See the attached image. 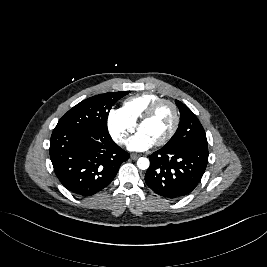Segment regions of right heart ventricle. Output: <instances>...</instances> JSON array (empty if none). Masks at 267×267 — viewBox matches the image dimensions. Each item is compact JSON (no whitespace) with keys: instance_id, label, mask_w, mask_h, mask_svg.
I'll return each mask as SVG.
<instances>
[{"instance_id":"right-heart-ventricle-1","label":"right heart ventricle","mask_w":267,"mask_h":267,"mask_svg":"<svg viewBox=\"0 0 267 267\" xmlns=\"http://www.w3.org/2000/svg\"><path fill=\"white\" fill-rule=\"evenodd\" d=\"M160 99L162 98L159 95L152 93L134 95L123 102L122 110L136 124L145 111Z\"/></svg>"}]
</instances>
